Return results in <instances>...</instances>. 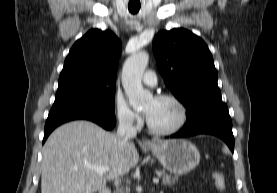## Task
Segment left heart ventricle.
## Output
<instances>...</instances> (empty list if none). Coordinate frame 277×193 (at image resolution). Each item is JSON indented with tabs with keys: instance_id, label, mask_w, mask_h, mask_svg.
Returning <instances> with one entry per match:
<instances>
[{
	"instance_id": "b2bd125f",
	"label": "left heart ventricle",
	"mask_w": 277,
	"mask_h": 193,
	"mask_svg": "<svg viewBox=\"0 0 277 193\" xmlns=\"http://www.w3.org/2000/svg\"><path fill=\"white\" fill-rule=\"evenodd\" d=\"M147 119L157 129H169L175 126L180 119V110L175 103L169 100L151 98L143 106Z\"/></svg>"
}]
</instances>
